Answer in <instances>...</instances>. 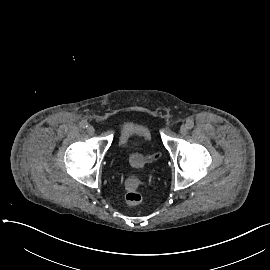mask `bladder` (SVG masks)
Wrapping results in <instances>:
<instances>
[{"instance_id":"bladder-1","label":"bladder","mask_w":270,"mask_h":270,"mask_svg":"<svg viewBox=\"0 0 270 270\" xmlns=\"http://www.w3.org/2000/svg\"><path fill=\"white\" fill-rule=\"evenodd\" d=\"M147 137H152V133L149 132ZM150 159V154L139 152L131 155L127 163L137 171H144L149 165Z\"/></svg>"}]
</instances>
